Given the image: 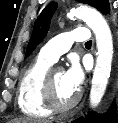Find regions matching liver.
<instances>
[{
  "label": "liver",
  "instance_id": "1",
  "mask_svg": "<svg viewBox=\"0 0 118 123\" xmlns=\"http://www.w3.org/2000/svg\"><path fill=\"white\" fill-rule=\"evenodd\" d=\"M9 123H52L49 120L39 121V120H32V119H14L11 120Z\"/></svg>",
  "mask_w": 118,
  "mask_h": 123
}]
</instances>
